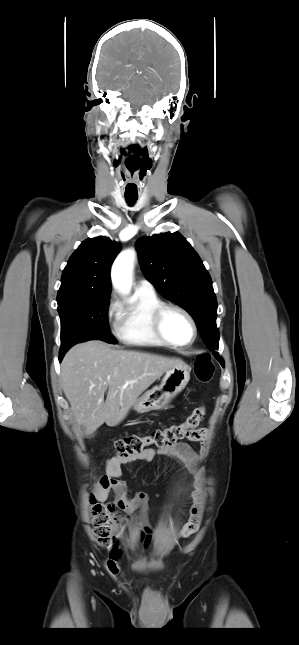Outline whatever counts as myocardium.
Masks as SVG:
<instances>
[{
    "label": "myocardium",
    "instance_id": "myocardium-1",
    "mask_svg": "<svg viewBox=\"0 0 299 645\" xmlns=\"http://www.w3.org/2000/svg\"><path fill=\"white\" fill-rule=\"evenodd\" d=\"M169 310H175V311L180 312L189 321V323L191 325V328H192V337H191L189 342H187V343H176V342L170 340L167 337V335L165 334L164 328H163V321H164L165 314ZM152 326H153V330H154L156 336L165 345H168V346H171V347H174V348L188 347V346L192 345L195 342L196 338H197L198 330H197V325H196V322H195L193 316L190 314V312L188 310H186L184 307H182V306H180L178 304L162 303L159 307H157L156 310L154 311L153 315H152Z\"/></svg>",
    "mask_w": 299,
    "mask_h": 645
}]
</instances>
